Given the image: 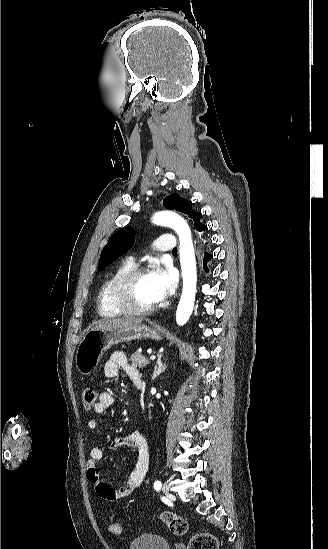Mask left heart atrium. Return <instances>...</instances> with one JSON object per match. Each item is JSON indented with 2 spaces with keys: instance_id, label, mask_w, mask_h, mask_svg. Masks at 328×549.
Here are the masks:
<instances>
[{
  "instance_id": "39dd6f15",
  "label": "left heart atrium",
  "mask_w": 328,
  "mask_h": 549,
  "mask_svg": "<svg viewBox=\"0 0 328 549\" xmlns=\"http://www.w3.org/2000/svg\"><path fill=\"white\" fill-rule=\"evenodd\" d=\"M150 276L154 295L158 301L174 293L177 285V275L172 266H158L151 271Z\"/></svg>"
}]
</instances>
